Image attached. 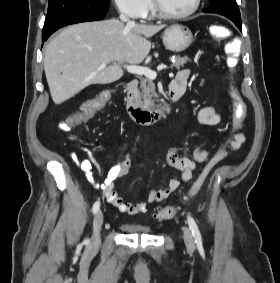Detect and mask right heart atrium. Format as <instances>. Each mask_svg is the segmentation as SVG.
I'll return each instance as SVG.
<instances>
[{
    "label": "right heart atrium",
    "mask_w": 280,
    "mask_h": 283,
    "mask_svg": "<svg viewBox=\"0 0 280 283\" xmlns=\"http://www.w3.org/2000/svg\"><path fill=\"white\" fill-rule=\"evenodd\" d=\"M120 13L134 19L140 20L147 16L150 9L149 0H114Z\"/></svg>",
    "instance_id": "d8ad5b80"
}]
</instances>
